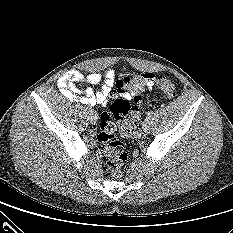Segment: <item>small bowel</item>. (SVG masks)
Listing matches in <instances>:
<instances>
[{
	"mask_svg": "<svg viewBox=\"0 0 233 233\" xmlns=\"http://www.w3.org/2000/svg\"><path fill=\"white\" fill-rule=\"evenodd\" d=\"M140 76L144 80L142 89L150 90L153 86L154 75L145 73ZM130 78V76H125L116 80L113 69H107L104 76L96 72L84 75L77 69H71L58 78L57 85L60 92L70 101L79 100L83 104L96 105L104 103L113 92L122 95L126 99L132 98L133 94L128 89ZM83 81L91 85H100V89L94 91L92 88H80L78 84Z\"/></svg>",
	"mask_w": 233,
	"mask_h": 233,
	"instance_id": "c3829d8e",
	"label": "small bowel"
}]
</instances>
